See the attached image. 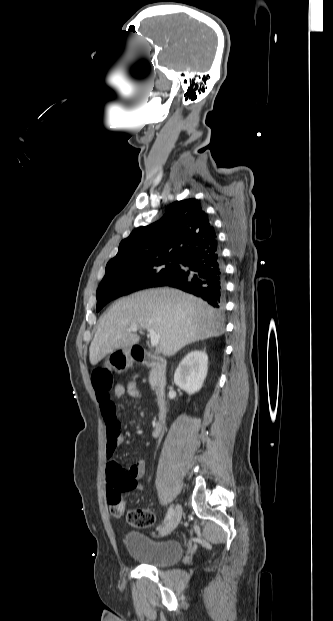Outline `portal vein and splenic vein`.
I'll return each mask as SVG.
<instances>
[{"label":"portal vein and splenic vein","instance_id":"portal-vein-and-splenic-vein-1","mask_svg":"<svg viewBox=\"0 0 333 621\" xmlns=\"http://www.w3.org/2000/svg\"><path fill=\"white\" fill-rule=\"evenodd\" d=\"M139 328L136 326H133L131 328H129V332H136ZM150 335V340H151V345L153 347L157 346V344L159 343L160 340V334L156 333L154 329H147Z\"/></svg>","mask_w":333,"mask_h":621}]
</instances>
